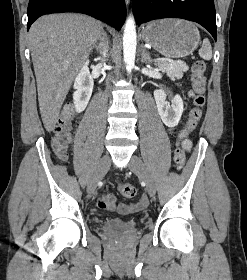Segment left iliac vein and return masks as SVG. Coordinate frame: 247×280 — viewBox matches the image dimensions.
Wrapping results in <instances>:
<instances>
[{
    "mask_svg": "<svg viewBox=\"0 0 247 280\" xmlns=\"http://www.w3.org/2000/svg\"><path fill=\"white\" fill-rule=\"evenodd\" d=\"M129 168L145 182L148 194L153 197L156 192L155 184L143 161L138 156L133 155L129 162Z\"/></svg>",
    "mask_w": 247,
    "mask_h": 280,
    "instance_id": "1",
    "label": "left iliac vein"
}]
</instances>
